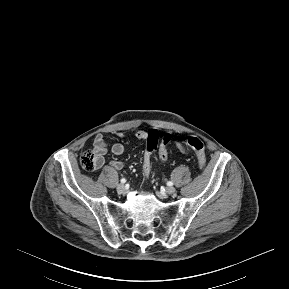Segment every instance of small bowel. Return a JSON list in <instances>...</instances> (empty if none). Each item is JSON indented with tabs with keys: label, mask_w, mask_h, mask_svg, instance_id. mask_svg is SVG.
Here are the masks:
<instances>
[{
	"label": "small bowel",
	"mask_w": 289,
	"mask_h": 289,
	"mask_svg": "<svg viewBox=\"0 0 289 289\" xmlns=\"http://www.w3.org/2000/svg\"><path fill=\"white\" fill-rule=\"evenodd\" d=\"M148 135V132L145 131H138L135 133V138L140 139V140H146ZM119 137H123L124 133H118ZM177 148L180 150V152L185 153V147L180 143L176 142ZM93 151L97 157L98 163L97 167L99 168L103 165L104 163V155L107 153H111L113 155H121L125 152V147L121 143H115L111 145L110 147L107 146L103 136L101 134H98L95 136L93 140ZM110 165L112 168L116 170H120L123 167V164L119 160H113L110 162Z\"/></svg>",
	"instance_id": "c3829d8e"
}]
</instances>
